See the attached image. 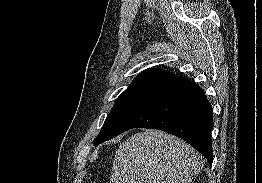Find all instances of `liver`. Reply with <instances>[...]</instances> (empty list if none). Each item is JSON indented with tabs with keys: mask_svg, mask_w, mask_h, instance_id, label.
Listing matches in <instances>:
<instances>
[{
	"mask_svg": "<svg viewBox=\"0 0 262 183\" xmlns=\"http://www.w3.org/2000/svg\"><path fill=\"white\" fill-rule=\"evenodd\" d=\"M203 166V157L182 139L145 130L119 146L110 183H187Z\"/></svg>",
	"mask_w": 262,
	"mask_h": 183,
	"instance_id": "obj_1",
	"label": "liver"
}]
</instances>
